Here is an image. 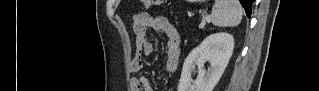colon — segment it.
Segmentation results:
<instances>
[{
	"label": "colon",
	"mask_w": 319,
	"mask_h": 91,
	"mask_svg": "<svg viewBox=\"0 0 319 91\" xmlns=\"http://www.w3.org/2000/svg\"><path fill=\"white\" fill-rule=\"evenodd\" d=\"M164 2L165 1H163V0H146L145 4H146V6L151 7V6H159V5L163 4Z\"/></svg>",
	"instance_id": "1"
}]
</instances>
